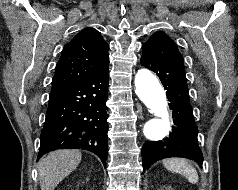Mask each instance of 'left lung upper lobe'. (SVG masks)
I'll return each instance as SVG.
<instances>
[{
	"label": "left lung upper lobe",
	"mask_w": 238,
	"mask_h": 190,
	"mask_svg": "<svg viewBox=\"0 0 238 190\" xmlns=\"http://www.w3.org/2000/svg\"><path fill=\"white\" fill-rule=\"evenodd\" d=\"M143 53L154 58L183 64V56L176 43L164 32H156L142 47Z\"/></svg>",
	"instance_id": "1"
}]
</instances>
